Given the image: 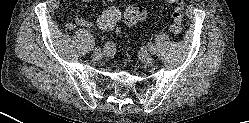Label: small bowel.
Returning a JSON list of instances; mask_svg holds the SVG:
<instances>
[{"label": "small bowel", "mask_w": 249, "mask_h": 123, "mask_svg": "<svg viewBox=\"0 0 249 123\" xmlns=\"http://www.w3.org/2000/svg\"><path fill=\"white\" fill-rule=\"evenodd\" d=\"M84 3H88V4H92L94 3L96 0H81ZM167 2V0H165ZM113 2V0H101L102 4L105 3H111ZM168 3V2H167ZM75 26H81V27H86V28H90L94 26V23L90 20H87L85 18H83L82 16L76 15L72 21H69L66 23V28L69 30H72L75 28Z\"/></svg>", "instance_id": "1"}]
</instances>
